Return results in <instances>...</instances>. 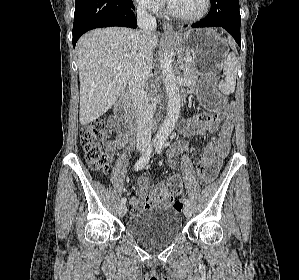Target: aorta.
<instances>
[{"mask_svg":"<svg viewBox=\"0 0 299 280\" xmlns=\"http://www.w3.org/2000/svg\"><path fill=\"white\" fill-rule=\"evenodd\" d=\"M161 72L168 96V112L156 139L165 140L173 131L180 113V92L173 70V58L169 52H165L161 60Z\"/></svg>","mask_w":299,"mask_h":280,"instance_id":"1","label":"aorta"}]
</instances>
